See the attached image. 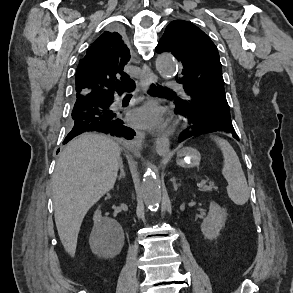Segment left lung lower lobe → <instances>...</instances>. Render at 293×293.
<instances>
[{
    "instance_id": "1",
    "label": "left lung lower lobe",
    "mask_w": 293,
    "mask_h": 293,
    "mask_svg": "<svg viewBox=\"0 0 293 293\" xmlns=\"http://www.w3.org/2000/svg\"><path fill=\"white\" fill-rule=\"evenodd\" d=\"M175 103V100H174ZM175 112H178L184 116H187L191 119V123L193 124L191 126L190 132L186 134H182L180 136V141L184 140L187 137L193 136V135H199L203 133H208L212 131H224L226 133L232 134V136L239 140L231 120H227L224 118H214L211 120H203V118L198 117L194 112L189 111L185 107L175 103Z\"/></svg>"
}]
</instances>
